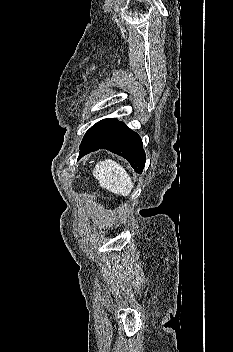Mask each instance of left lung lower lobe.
I'll list each match as a JSON object with an SVG mask.
<instances>
[{
    "instance_id": "left-lung-lower-lobe-1",
    "label": "left lung lower lobe",
    "mask_w": 233,
    "mask_h": 352,
    "mask_svg": "<svg viewBox=\"0 0 233 352\" xmlns=\"http://www.w3.org/2000/svg\"><path fill=\"white\" fill-rule=\"evenodd\" d=\"M107 149L125 158L137 173L144 169L145 152L140 136L122 122H116L80 148L84 156L92 151Z\"/></svg>"
}]
</instances>
